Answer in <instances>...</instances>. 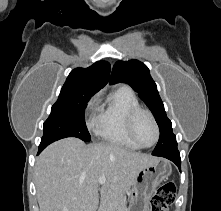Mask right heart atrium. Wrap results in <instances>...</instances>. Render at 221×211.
I'll return each mask as SVG.
<instances>
[{
  "label": "right heart atrium",
  "mask_w": 221,
  "mask_h": 211,
  "mask_svg": "<svg viewBox=\"0 0 221 211\" xmlns=\"http://www.w3.org/2000/svg\"><path fill=\"white\" fill-rule=\"evenodd\" d=\"M97 95L93 96L87 103L85 108V118L89 128H94L97 124V121L92 120V116L97 109Z\"/></svg>",
  "instance_id": "d8ad5b80"
}]
</instances>
